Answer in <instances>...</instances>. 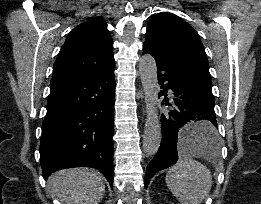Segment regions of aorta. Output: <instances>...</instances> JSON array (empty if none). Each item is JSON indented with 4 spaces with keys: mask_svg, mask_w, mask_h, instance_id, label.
Returning a JSON list of instances; mask_svg holds the SVG:
<instances>
[{
    "mask_svg": "<svg viewBox=\"0 0 261 204\" xmlns=\"http://www.w3.org/2000/svg\"><path fill=\"white\" fill-rule=\"evenodd\" d=\"M139 74L145 95L147 118L143 134V149L148 156L157 153L161 143V124L157 111V66L150 54L139 61Z\"/></svg>",
    "mask_w": 261,
    "mask_h": 204,
    "instance_id": "762f6f07",
    "label": "aorta"
}]
</instances>
